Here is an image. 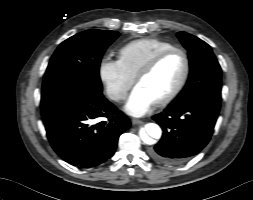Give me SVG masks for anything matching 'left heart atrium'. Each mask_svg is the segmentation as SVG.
Returning a JSON list of instances; mask_svg holds the SVG:
<instances>
[{"label":"left heart atrium","instance_id":"39dd6f15","mask_svg":"<svg viewBox=\"0 0 253 200\" xmlns=\"http://www.w3.org/2000/svg\"><path fill=\"white\" fill-rule=\"evenodd\" d=\"M154 104L152 97L137 85L131 92L124 109L128 114L140 117L150 111Z\"/></svg>","mask_w":253,"mask_h":200}]
</instances>
